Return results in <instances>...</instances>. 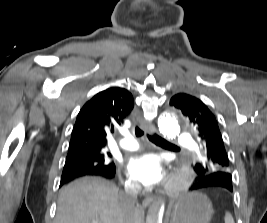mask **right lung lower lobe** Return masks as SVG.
Instances as JSON below:
<instances>
[{
    "instance_id": "98d812e1",
    "label": "right lung lower lobe",
    "mask_w": 267,
    "mask_h": 223,
    "mask_svg": "<svg viewBox=\"0 0 267 223\" xmlns=\"http://www.w3.org/2000/svg\"><path fill=\"white\" fill-rule=\"evenodd\" d=\"M115 172L116 170H104V171H91V172H86V173H76V172H68V173H62V177H61V182H60V186H62L63 184L77 178V177H81V176H86V175H90V176H100V177H104V178H113L115 176Z\"/></svg>"
}]
</instances>
